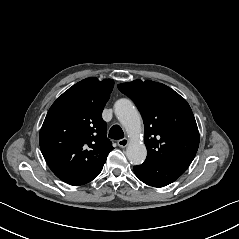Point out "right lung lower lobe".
Returning a JSON list of instances; mask_svg holds the SVG:
<instances>
[{
    "mask_svg": "<svg viewBox=\"0 0 239 239\" xmlns=\"http://www.w3.org/2000/svg\"><path fill=\"white\" fill-rule=\"evenodd\" d=\"M103 165L97 170L87 174L55 173V175L67 184L73 186L83 185L96 178L101 172Z\"/></svg>",
    "mask_w": 239,
    "mask_h": 239,
    "instance_id": "right-lung-lower-lobe-1",
    "label": "right lung lower lobe"
}]
</instances>
